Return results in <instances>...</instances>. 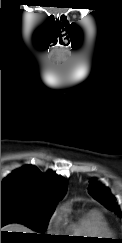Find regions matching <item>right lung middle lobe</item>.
I'll list each match as a JSON object with an SVG mask.
<instances>
[{
  "instance_id": "obj_1",
  "label": "right lung middle lobe",
  "mask_w": 122,
  "mask_h": 243,
  "mask_svg": "<svg viewBox=\"0 0 122 243\" xmlns=\"http://www.w3.org/2000/svg\"><path fill=\"white\" fill-rule=\"evenodd\" d=\"M55 210V205H41L13 197L1 198V227L9 223H21L41 234L39 238H48L44 231Z\"/></svg>"
}]
</instances>
